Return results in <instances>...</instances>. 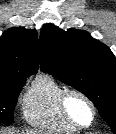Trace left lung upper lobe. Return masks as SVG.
<instances>
[{"instance_id": "5c2ea615", "label": "left lung upper lobe", "mask_w": 116, "mask_h": 134, "mask_svg": "<svg viewBox=\"0 0 116 134\" xmlns=\"http://www.w3.org/2000/svg\"><path fill=\"white\" fill-rule=\"evenodd\" d=\"M41 71L87 96L116 134V60L111 50L83 30L43 27Z\"/></svg>"}]
</instances>
